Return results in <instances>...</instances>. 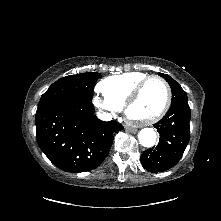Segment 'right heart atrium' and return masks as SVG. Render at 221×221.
<instances>
[{
	"instance_id": "d8ad5b80",
	"label": "right heart atrium",
	"mask_w": 221,
	"mask_h": 221,
	"mask_svg": "<svg viewBox=\"0 0 221 221\" xmlns=\"http://www.w3.org/2000/svg\"><path fill=\"white\" fill-rule=\"evenodd\" d=\"M98 91L99 90L97 89V92ZM93 104L104 115L115 114L120 110V107L113 104L105 97L99 96L98 93L93 97Z\"/></svg>"
}]
</instances>
